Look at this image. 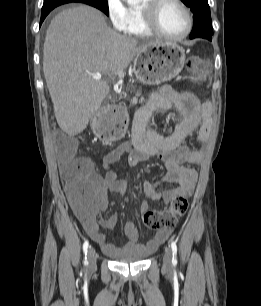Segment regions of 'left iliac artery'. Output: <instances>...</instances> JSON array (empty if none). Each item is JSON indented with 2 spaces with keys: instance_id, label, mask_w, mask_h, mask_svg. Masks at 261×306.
<instances>
[{
  "instance_id": "left-iliac-artery-1",
  "label": "left iliac artery",
  "mask_w": 261,
  "mask_h": 306,
  "mask_svg": "<svg viewBox=\"0 0 261 306\" xmlns=\"http://www.w3.org/2000/svg\"><path fill=\"white\" fill-rule=\"evenodd\" d=\"M171 248H172V251H173V258H172V262L174 264L177 263V259H176V255H177V245L175 242H171Z\"/></svg>"
}]
</instances>
